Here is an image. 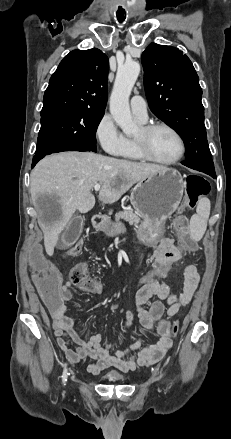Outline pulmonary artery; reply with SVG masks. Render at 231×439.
Here are the masks:
<instances>
[{
    "mask_svg": "<svg viewBox=\"0 0 231 439\" xmlns=\"http://www.w3.org/2000/svg\"><path fill=\"white\" fill-rule=\"evenodd\" d=\"M133 115L140 121L145 122L148 118L147 104L141 96H133L130 101Z\"/></svg>",
    "mask_w": 231,
    "mask_h": 439,
    "instance_id": "e3ab8cb5",
    "label": "pulmonary artery"
}]
</instances>
